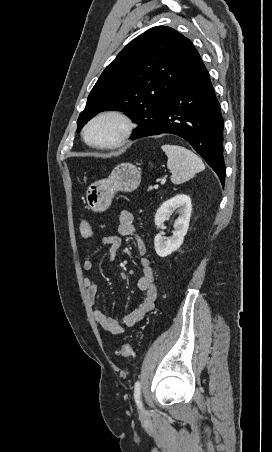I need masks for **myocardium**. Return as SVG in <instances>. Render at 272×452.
Here are the masks:
<instances>
[{"label":"myocardium","instance_id":"obj_1","mask_svg":"<svg viewBox=\"0 0 272 452\" xmlns=\"http://www.w3.org/2000/svg\"><path fill=\"white\" fill-rule=\"evenodd\" d=\"M103 120H112L119 125V132L116 137L108 142H92L88 138L90 128ZM134 129L131 118L124 112L119 110H105L92 116L84 125L82 137L86 144L98 149H115L121 147L130 138Z\"/></svg>","mask_w":272,"mask_h":452}]
</instances>
